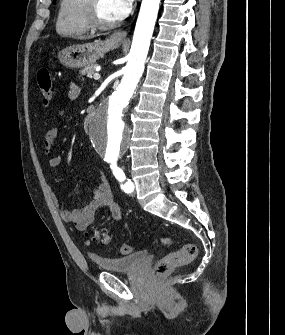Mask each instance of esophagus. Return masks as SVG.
Returning a JSON list of instances; mask_svg holds the SVG:
<instances>
[{
  "instance_id": "esophagus-1",
  "label": "esophagus",
  "mask_w": 285,
  "mask_h": 335,
  "mask_svg": "<svg viewBox=\"0 0 285 335\" xmlns=\"http://www.w3.org/2000/svg\"><path fill=\"white\" fill-rule=\"evenodd\" d=\"M129 30H130V27H127L124 30H118L117 32L113 33L112 37L114 39H118V40L122 41L123 39H125Z\"/></svg>"
}]
</instances>
